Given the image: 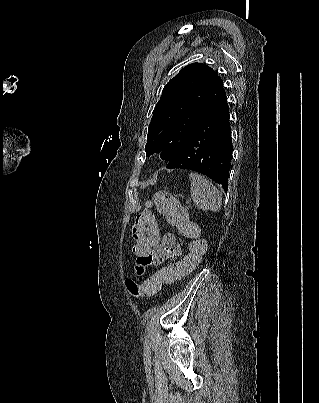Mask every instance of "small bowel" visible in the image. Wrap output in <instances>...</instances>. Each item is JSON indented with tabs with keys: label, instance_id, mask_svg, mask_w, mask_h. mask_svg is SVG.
Returning <instances> with one entry per match:
<instances>
[{
	"label": "small bowel",
	"instance_id": "c3829d8e",
	"mask_svg": "<svg viewBox=\"0 0 319 403\" xmlns=\"http://www.w3.org/2000/svg\"><path fill=\"white\" fill-rule=\"evenodd\" d=\"M183 253L181 245L177 242L172 234H166L158 243V247H152L149 252H141L137 261L138 267L131 268L130 272L133 274L130 277L132 282H136L138 277L134 274L141 273L143 270L147 271L152 266H158L169 259L180 257ZM179 275L177 279L183 277Z\"/></svg>",
	"mask_w": 319,
	"mask_h": 403
}]
</instances>
